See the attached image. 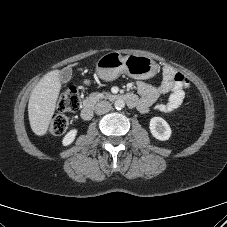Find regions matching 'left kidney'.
Listing matches in <instances>:
<instances>
[{
    "mask_svg": "<svg viewBox=\"0 0 227 227\" xmlns=\"http://www.w3.org/2000/svg\"><path fill=\"white\" fill-rule=\"evenodd\" d=\"M149 128L151 134L160 141H166L171 137V128L169 124L161 117L151 118Z\"/></svg>",
    "mask_w": 227,
    "mask_h": 227,
    "instance_id": "left-kidney-1",
    "label": "left kidney"
}]
</instances>
